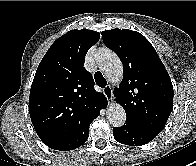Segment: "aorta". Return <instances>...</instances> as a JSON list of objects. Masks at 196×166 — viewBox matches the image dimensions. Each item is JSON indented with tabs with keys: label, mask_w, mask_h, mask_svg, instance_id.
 Returning a JSON list of instances; mask_svg holds the SVG:
<instances>
[{
	"label": "aorta",
	"mask_w": 196,
	"mask_h": 166,
	"mask_svg": "<svg viewBox=\"0 0 196 166\" xmlns=\"http://www.w3.org/2000/svg\"><path fill=\"white\" fill-rule=\"evenodd\" d=\"M99 69L106 78L117 84L123 78V66L119 57L110 49L101 50L96 57ZM107 119L114 127H121L126 121V113L118 103H111L107 108Z\"/></svg>",
	"instance_id": "obj_1"
}]
</instances>
